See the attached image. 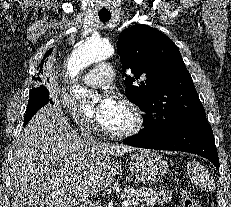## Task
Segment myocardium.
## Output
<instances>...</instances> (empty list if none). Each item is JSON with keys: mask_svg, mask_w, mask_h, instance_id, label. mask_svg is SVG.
<instances>
[{"mask_svg": "<svg viewBox=\"0 0 231 207\" xmlns=\"http://www.w3.org/2000/svg\"><path fill=\"white\" fill-rule=\"evenodd\" d=\"M121 104L125 106L132 114L133 124L130 128L122 131H114L108 129L105 125L102 126V131L105 135L114 139H125L140 133L145 126V117L140 107L129 99H122Z\"/></svg>", "mask_w": 231, "mask_h": 207, "instance_id": "f54148a6", "label": "myocardium"}]
</instances>
